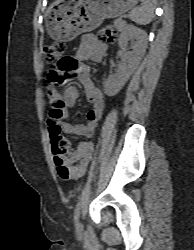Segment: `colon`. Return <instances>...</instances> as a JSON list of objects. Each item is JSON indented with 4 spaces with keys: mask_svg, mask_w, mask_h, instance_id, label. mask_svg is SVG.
<instances>
[{
    "mask_svg": "<svg viewBox=\"0 0 194 250\" xmlns=\"http://www.w3.org/2000/svg\"><path fill=\"white\" fill-rule=\"evenodd\" d=\"M99 36L102 40L107 42H114L116 40V32L110 27H103L99 31ZM66 49V44L63 41H54L45 45L43 49L44 58L47 62L53 63L58 61L59 63H64V58L62 57ZM65 77L54 70L50 71L47 77V85L56 90L62 86ZM57 91V90H56ZM57 106L62 107L63 103L59 101ZM52 151L57 165L58 174L63 179H68L71 172L66 164V159L72 157L75 154V150L72 148L68 139L62 136L61 133H56L51 136Z\"/></svg>",
    "mask_w": 194,
    "mask_h": 250,
    "instance_id": "5ec220e1",
    "label": "colon"
}]
</instances>
